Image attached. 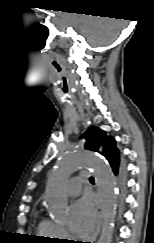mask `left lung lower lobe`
<instances>
[{
  "instance_id": "1",
  "label": "left lung lower lobe",
  "mask_w": 154,
  "mask_h": 243,
  "mask_svg": "<svg viewBox=\"0 0 154 243\" xmlns=\"http://www.w3.org/2000/svg\"><path fill=\"white\" fill-rule=\"evenodd\" d=\"M112 168H113L114 173L116 175L118 174L119 184H120L121 189L125 190V187H126V171H125L124 165L119 164V166L115 165Z\"/></svg>"
}]
</instances>
